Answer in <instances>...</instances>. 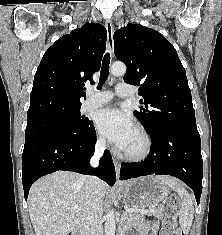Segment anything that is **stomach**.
<instances>
[{"mask_svg":"<svg viewBox=\"0 0 222 235\" xmlns=\"http://www.w3.org/2000/svg\"><path fill=\"white\" fill-rule=\"evenodd\" d=\"M126 205L134 209H144L164 200L170 192L167 185L157 177H144L123 185Z\"/></svg>","mask_w":222,"mask_h":235,"instance_id":"1","label":"stomach"}]
</instances>
